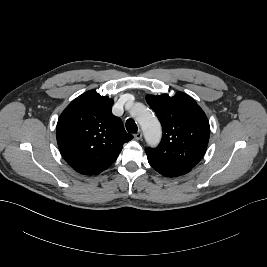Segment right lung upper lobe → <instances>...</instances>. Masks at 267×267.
I'll return each mask as SVG.
<instances>
[{"instance_id": "1", "label": "right lung upper lobe", "mask_w": 267, "mask_h": 267, "mask_svg": "<svg viewBox=\"0 0 267 267\" xmlns=\"http://www.w3.org/2000/svg\"><path fill=\"white\" fill-rule=\"evenodd\" d=\"M113 100L87 91L73 100L57 123V143L66 162L77 172L97 175L119 156L128 134L111 108Z\"/></svg>"}]
</instances>
